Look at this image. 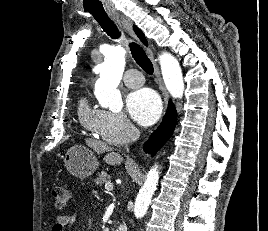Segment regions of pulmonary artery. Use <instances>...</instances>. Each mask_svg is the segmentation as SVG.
<instances>
[{"label": "pulmonary artery", "instance_id": "obj_1", "mask_svg": "<svg viewBox=\"0 0 268 231\" xmlns=\"http://www.w3.org/2000/svg\"><path fill=\"white\" fill-rule=\"evenodd\" d=\"M122 80L131 88L139 87L143 84L142 73L135 68L128 69L123 75Z\"/></svg>", "mask_w": 268, "mask_h": 231}]
</instances>
